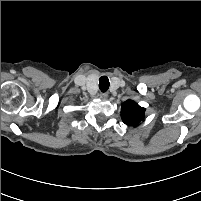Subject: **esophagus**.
<instances>
[{"instance_id": "34e87169", "label": "esophagus", "mask_w": 201, "mask_h": 201, "mask_svg": "<svg viewBox=\"0 0 201 201\" xmlns=\"http://www.w3.org/2000/svg\"><path fill=\"white\" fill-rule=\"evenodd\" d=\"M99 97L103 100L107 99L108 98V93L107 92H103V93H100L99 94Z\"/></svg>"}]
</instances>
